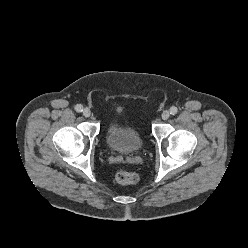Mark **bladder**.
Listing matches in <instances>:
<instances>
[{"label":"bladder","instance_id":"obj_1","mask_svg":"<svg viewBox=\"0 0 248 248\" xmlns=\"http://www.w3.org/2000/svg\"><path fill=\"white\" fill-rule=\"evenodd\" d=\"M105 140L110 149L121 154H133L143 146V138L130 124L112 116L107 124Z\"/></svg>","mask_w":248,"mask_h":248}]
</instances>
